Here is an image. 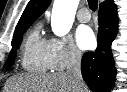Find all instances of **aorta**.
I'll return each instance as SVG.
<instances>
[{
  "mask_svg": "<svg viewBox=\"0 0 127 92\" xmlns=\"http://www.w3.org/2000/svg\"><path fill=\"white\" fill-rule=\"evenodd\" d=\"M79 0H55L52 9L51 27L56 36L66 35L74 22Z\"/></svg>",
  "mask_w": 127,
  "mask_h": 92,
  "instance_id": "762f6f07",
  "label": "aorta"
}]
</instances>
